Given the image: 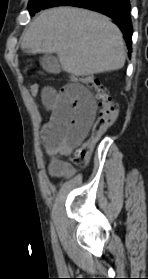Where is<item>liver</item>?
<instances>
[{
    "label": "liver",
    "mask_w": 148,
    "mask_h": 279,
    "mask_svg": "<svg viewBox=\"0 0 148 279\" xmlns=\"http://www.w3.org/2000/svg\"><path fill=\"white\" fill-rule=\"evenodd\" d=\"M21 48L57 53L62 69L75 76L121 69L126 58L122 33L108 17L73 7L43 11L25 32Z\"/></svg>",
    "instance_id": "1"
}]
</instances>
